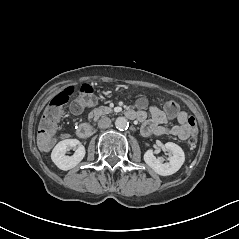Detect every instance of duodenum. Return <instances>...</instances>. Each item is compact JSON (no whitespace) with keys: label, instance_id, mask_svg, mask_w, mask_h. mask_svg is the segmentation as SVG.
Listing matches in <instances>:
<instances>
[{"label":"duodenum","instance_id":"obj_1","mask_svg":"<svg viewBox=\"0 0 239 239\" xmlns=\"http://www.w3.org/2000/svg\"><path fill=\"white\" fill-rule=\"evenodd\" d=\"M127 116H128L129 118H133V117H134L133 114H132V113H129V112H127ZM92 132H93V127H92V125L89 124V123H82V124H80V125L78 126V128H77V135H78L80 138H83V139L90 137L91 134H92Z\"/></svg>","mask_w":239,"mask_h":239}]
</instances>
